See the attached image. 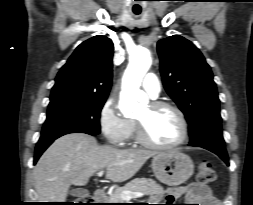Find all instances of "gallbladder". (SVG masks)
<instances>
[{
    "label": "gallbladder",
    "mask_w": 253,
    "mask_h": 205,
    "mask_svg": "<svg viewBox=\"0 0 253 205\" xmlns=\"http://www.w3.org/2000/svg\"><path fill=\"white\" fill-rule=\"evenodd\" d=\"M70 194L75 197L83 198L89 196V192L86 189H73Z\"/></svg>",
    "instance_id": "obj_1"
}]
</instances>
